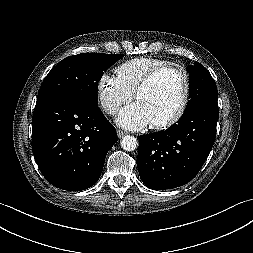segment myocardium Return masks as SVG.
Listing matches in <instances>:
<instances>
[{"instance_id":"1","label":"myocardium","mask_w":253,"mask_h":253,"mask_svg":"<svg viewBox=\"0 0 253 253\" xmlns=\"http://www.w3.org/2000/svg\"><path fill=\"white\" fill-rule=\"evenodd\" d=\"M167 72H175L179 75L181 81H182V96H181V102L178 110L169 118L152 122V126L156 129H166L173 125H175L177 122L181 120V118L184 116L188 104H189V98H190V76L186 68L180 65L176 64H168L156 69L151 70L139 83L137 86L135 92H134V98L137 100L138 96L144 92L146 89H148L155 80L160 77L161 75L167 73Z\"/></svg>"}]
</instances>
